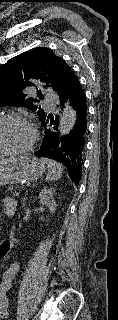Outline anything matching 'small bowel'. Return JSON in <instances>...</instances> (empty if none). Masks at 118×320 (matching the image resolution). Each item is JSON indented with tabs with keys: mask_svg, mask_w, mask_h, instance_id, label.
Instances as JSON below:
<instances>
[{
	"mask_svg": "<svg viewBox=\"0 0 118 320\" xmlns=\"http://www.w3.org/2000/svg\"><path fill=\"white\" fill-rule=\"evenodd\" d=\"M2 205L5 214H11L14 207L15 201L11 197L2 198ZM13 246V241L11 243V247ZM10 247V249H11ZM9 249V250H10ZM8 250V251H9ZM19 264L14 263L10 265L1 275L0 277V320L4 319L8 316L9 313V297L8 291L12 287L14 278L19 271Z\"/></svg>",
	"mask_w": 118,
	"mask_h": 320,
	"instance_id": "obj_1",
	"label": "small bowel"
}]
</instances>
